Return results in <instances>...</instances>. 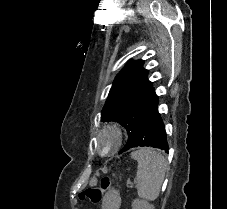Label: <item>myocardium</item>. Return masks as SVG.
I'll return each instance as SVG.
<instances>
[{"instance_id": "myocardium-1", "label": "myocardium", "mask_w": 227, "mask_h": 209, "mask_svg": "<svg viewBox=\"0 0 227 209\" xmlns=\"http://www.w3.org/2000/svg\"><path fill=\"white\" fill-rule=\"evenodd\" d=\"M111 132L114 135L115 142L114 145L106 150H101L98 146V138L106 133ZM124 133L120 125L115 122H106L100 128L96 130L93 135L92 143L94 146L95 151L101 156H109L114 154L119 150L122 145Z\"/></svg>"}]
</instances>
